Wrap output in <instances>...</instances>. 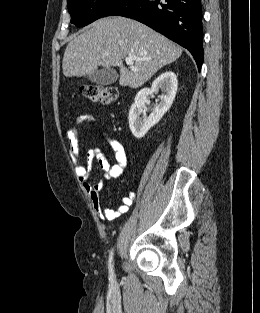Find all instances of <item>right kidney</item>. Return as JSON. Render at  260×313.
I'll use <instances>...</instances> for the list:
<instances>
[{
    "mask_svg": "<svg viewBox=\"0 0 260 313\" xmlns=\"http://www.w3.org/2000/svg\"><path fill=\"white\" fill-rule=\"evenodd\" d=\"M178 88L177 76L172 71H165L152 83L151 88H144L139 91L135 97L129 111V127L132 134L140 139L143 138L149 129L156 125L163 115L170 109L176 96ZM161 90V102L156 105L149 117L143 113L146 98L154 92Z\"/></svg>",
    "mask_w": 260,
    "mask_h": 313,
    "instance_id": "right-kidney-1",
    "label": "right kidney"
}]
</instances>
